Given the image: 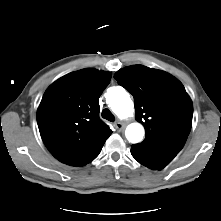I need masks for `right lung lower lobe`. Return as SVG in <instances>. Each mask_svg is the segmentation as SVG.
Returning <instances> with one entry per match:
<instances>
[{
  "mask_svg": "<svg viewBox=\"0 0 221 221\" xmlns=\"http://www.w3.org/2000/svg\"><path fill=\"white\" fill-rule=\"evenodd\" d=\"M102 146L101 145L98 149H96L89 157H87L84 161H82L81 163H79L78 165L76 166H83L89 162H91L92 160H94L100 153L101 149H102Z\"/></svg>",
  "mask_w": 221,
  "mask_h": 221,
  "instance_id": "right-lung-lower-lobe-1",
  "label": "right lung lower lobe"
}]
</instances>
